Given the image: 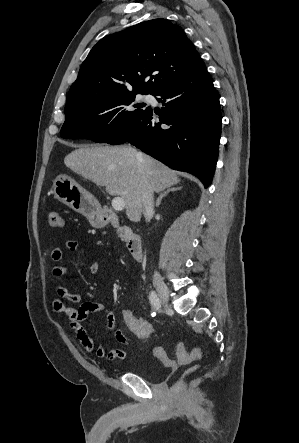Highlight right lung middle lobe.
<instances>
[{
    "instance_id": "obj_1",
    "label": "right lung middle lobe",
    "mask_w": 299,
    "mask_h": 443,
    "mask_svg": "<svg viewBox=\"0 0 299 443\" xmlns=\"http://www.w3.org/2000/svg\"><path fill=\"white\" fill-rule=\"evenodd\" d=\"M137 94L126 92L105 95L65 106L66 120L60 135L68 139H90L107 142L118 135L135 118L142 116L150 107L135 104Z\"/></svg>"
}]
</instances>
